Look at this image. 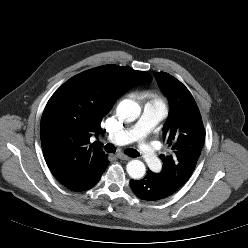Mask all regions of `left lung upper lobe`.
I'll return each mask as SVG.
<instances>
[{"label":"left lung upper lobe","instance_id":"obj_1","mask_svg":"<svg viewBox=\"0 0 248 248\" xmlns=\"http://www.w3.org/2000/svg\"><path fill=\"white\" fill-rule=\"evenodd\" d=\"M155 77L170 104L163 137L172 149L170 156L162 157V171L155 175L175 193L188 181L196 167L205 142V131L199 109L189 90L165 72L155 73Z\"/></svg>","mask_w":248,"mask_h":248}]
</instances>
